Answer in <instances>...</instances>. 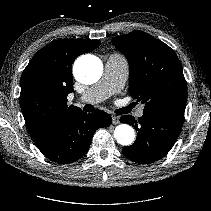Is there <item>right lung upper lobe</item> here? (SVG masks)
Returning a JSON list of instances; mask_svg holds the SVG:
<instances>
[{
    "mask_svg": "<svg viewBox=\"0 0 211 211\" xmlns=\"http://www.w3.org/2000/svg\"><path fill=\"white\" fill-rule=\"evenodd\" d=\"M100 44L99 40H55L39 50L24 69L19 101L35 144L45 140L67 117L81 111L67 105V95L73 91L71 66L79 55Z\"/></svg>",
    "mask_w": 211,
    "mask_h": 211,
    "instance_id": "cb5924a9",
    "label": "right lung upper lobe"
}]
</instances>
